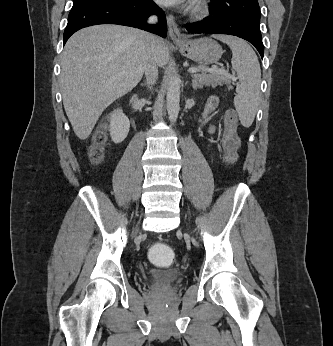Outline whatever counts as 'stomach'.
I'll return each mask as SVG.
<instances>
[{
	"label": "stomach",
	"mask_w": 333,
	"mask_h": 346,
	"mask_svg": "<svg viewBox=\"0 0 333 346\" xmlns=\"http://www.w3.org/2000/svg\"><path fill=\"white\" fill-rule=\"evenodd\" d=\"M177 45L184 56L201 65L216 63L223 53L222 47L210 38L187 40Z\"/></svg>",
	"instance_id": "stomach-1"
}]
</instances>
